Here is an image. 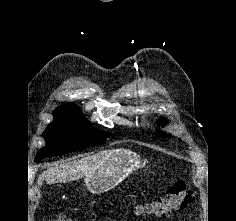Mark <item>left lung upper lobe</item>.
Listing matches in <instances>:
<instances>
[{"mask_svg":"<svg viewBox=\"0 0 236 221\" xmlns=\"http://www.w3.org/2000/svg\"><path fill=\"white\" fill-rule=\"evenodd\" d=\"M160 122L165 123V120L162 119ZM158 132H159L160 134H162L160 131H158ZM164 136L169 137V135H167V134H164Z\"/></svg>","mask_w":236,"mask_h":221,"instance_id":"5c2ea615","label":"left lung upper lobe"}]
</instances>
